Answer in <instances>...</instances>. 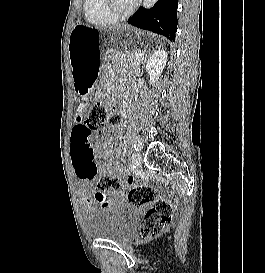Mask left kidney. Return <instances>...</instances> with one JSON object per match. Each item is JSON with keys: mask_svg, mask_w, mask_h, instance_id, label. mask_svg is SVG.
Wrapping results in <instances>:
<instances>
[{"mask_svg": "<svg viewBox=\"0 0 265 273\" xmlns=\"http://www.w3.org/2000/svg\"><path fill=\"white\" fill-rule=\"evenodd\" d=\"M167 52L164 50L156 51L146 63V71L150 75V84H154L159 77L167 62Z\"/></svg>", "mask_w": 265, "mask_h": 273, "instance_id": "left-kidney-1", "label": "left kidney"}]
</instances>
